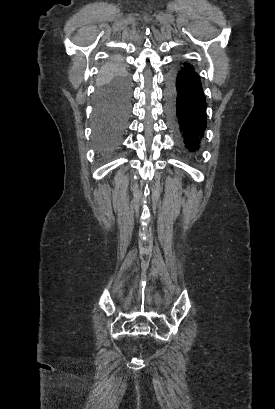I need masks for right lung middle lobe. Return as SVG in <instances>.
<instances>
[{"label":"right lung middle lobe","mask_w":275,"mask_h":409,"mask_svg":"<svg viewBox=\"0 0 275 409\" xmlns=\"http://www.w3.org/2000/svg\"><path fill=\"white\" fill-rule=\"evenodd\" d=\"M96 90L94 143L99 155L108 158L119 147L129 117L130 77L119 60L114 57L107 60Z\"/></svg>","instance_id":"dd1d6c3e"}]
</instances>
